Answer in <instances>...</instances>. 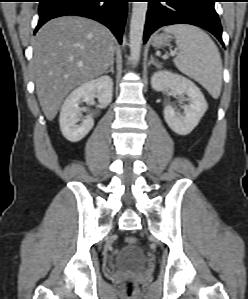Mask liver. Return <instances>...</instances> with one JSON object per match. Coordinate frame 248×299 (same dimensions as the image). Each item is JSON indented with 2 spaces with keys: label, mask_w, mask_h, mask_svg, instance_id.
<instances>
[{
  "label": "liver",
  "mask_w": 248,
  "mask_h": 299,
  "mask_svg": "<svg viewBox=\"0 0 248 299\" xmlns=\"http://www.w3.org/2000/svg\"><path fill=\"white\" fill-rule=\"evenodd\" d=\"M113 46L112 33L84 17H59L38 31L31 65L48 120L55 118L71 90L106 72L114 59Z\"/></svg>",
  "instance_id": "liver-1"
}]
</instances>
